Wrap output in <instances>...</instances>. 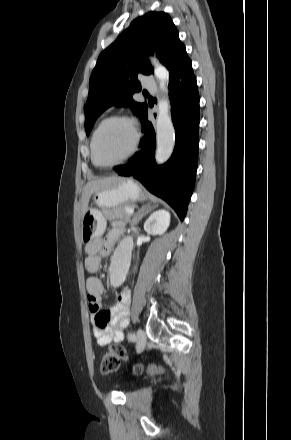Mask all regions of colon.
I'll list each match as a JSON object with an SVG mask.
<instances>
[{
  "label": "colon",
  "instance_id": "5ec220e1",
  "mask_svg": "<svg viewBox=\"0 0 291 440\" xmlns=\"http://www.w3.org/2000/svg\"><path fill=\"white\" fill-rule=\"evenodd\" d=\"M110 322V318L108 316H104L101 319L102 325H107ZM127 359V351L120 344H112L110 348L104 353L100 363V369L105 374L114 373L119 364V360ZM132 373L138 374L141 372V365L139 363L132 364L131 367Z\"/></svg>",
  "mask_w": 291,
  "mask_h": 440
}]
</instances>
